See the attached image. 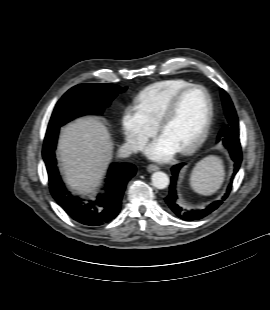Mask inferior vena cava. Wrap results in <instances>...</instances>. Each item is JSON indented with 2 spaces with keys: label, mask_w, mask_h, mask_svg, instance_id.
<instances>
[{
  "label": "inferior vena cava",
  "mask_w": 270,
  "mask_h": 310,
  "mask_svg": "<svg viewBox=\"0 0 270 310\" xmlns=\"http://www.w3.org/2000/svg\"><path fill=\"white\" fill-rule=\"evenodd\" d=\"M144 143L128 141L124 143L119 149L120 157H128L130 154L143 150Z\"/></svg>",
  "instance_id": "inferior-vena-cava-1"
}]
</instances>
